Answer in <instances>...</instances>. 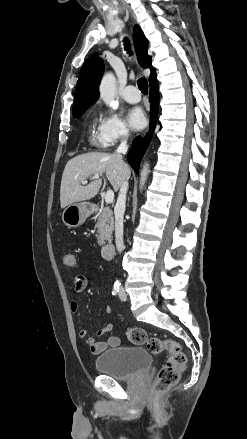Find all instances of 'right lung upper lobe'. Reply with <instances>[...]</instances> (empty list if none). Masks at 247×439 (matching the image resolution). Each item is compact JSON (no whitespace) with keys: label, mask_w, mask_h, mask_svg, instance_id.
Returning a JSON list of instances; mask_svg holds the SVG:
<instances>
[{"label":"right lung upper lobe","mask_w":247,"mask_h":439,"mask_svg":"<svg viewBox=\"0 0 247 439\" xmlns=\"http://www.w3.org/2000/svg\"><path fill=\"white\" fill-rule=\"evenodd\" d=\"M134 44L138 61L144 68L149 67L151 75L150 84L156 79L155 69L151 65V57L147 53L148 41L138 25L134 27ZM104 72V63L98 56L89 57L83 64L75 89L73 114L81 110H87L93 105L98 97V86Z\"/></svg>","instance_id":"cb5924a9"}]
</instances>
